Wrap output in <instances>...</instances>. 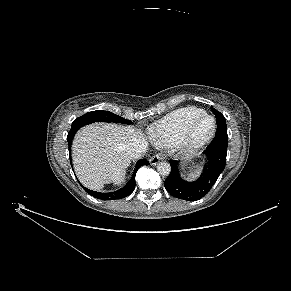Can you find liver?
I'll list each match as a JSON object with an SVG mask.
<instances>
[{
  "instance_id": "6515ba94",
  "label": "liver",
  "mask_w": 291,
  "mask_h": 291,
  "mask_svg": "<svg viewBox=\"0 0 291 291\" xmlns=\"http://www.w3.org/2000/svg\"><path fill=\"white\" fill-rule=\"evenodd\" d=\"M140 130L117 124H91L80 129L73 140L72 159L80 182L92 190L121 181L132 157L130 145L143 141Z\"/></svg>"
}]
</instances>
